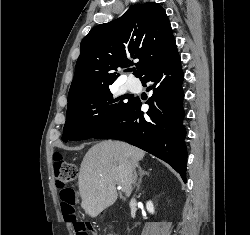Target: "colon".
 Here are the masks:
<instances>
[{"label": "colon", "mask_w": 250, "mask_h": 235, "mask_svg": "<svg viewBox=\"0 0 250 235\" xmlns=\"http://www.w3.org/2000/svg\"><path fill=\"white\" fill-rule=\"evenodd\" d=\"M55 179L60 192V204L66 222L74 226L76 235H88V227L84 222L78 220L76 216V193L73 189H66L64 186L73 182L77 177V167L75 164L57 155L54 158Z\"/></svg>", "instance_id": "colon-1"}]
</instances>
